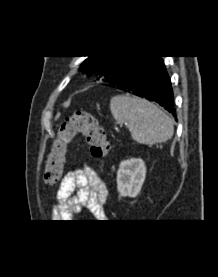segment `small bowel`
<instances>
[{
	"label": "small bowel",
	"mask_w": 218,
	"mask_h": 277,
	"mask_svg": "<svg viewBox=\"0 0 218 277\" xmlns=\"http://www.w3.org/2000/svg\"><path fill=\"white\" fill-rule=\"evenodd\" d=\"M107 194V187L96 171L84 165L64 176L51 207L52 215L58 220H70L87 209L95 218L103 219Z\"/></svg>",
	"instance_id": "1"
}]
</instances>
